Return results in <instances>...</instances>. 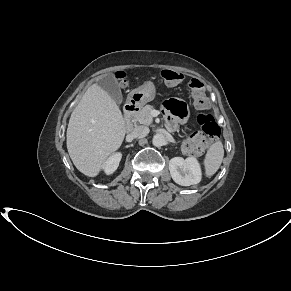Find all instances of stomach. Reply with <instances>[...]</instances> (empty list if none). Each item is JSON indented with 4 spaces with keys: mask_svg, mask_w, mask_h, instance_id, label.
Returning a JSON list of instances; mask_svg holds the SVG:
<instances>
[{
    "mask_svg": "<svg viewBox=\"0 0 291 291\" xmlns=\"http://www.w3.org/2000/svg\"><path fill=\"white\" fill-rule=\"evenodd\" d=\"M156 90L152 82H146L142 86L132 90L127 99L136 106H143L155 98Z\"/></svg>",
    "mask_w": 291,
    "mask_h": 291,
    "instance_id": "1",
    "label": "stomach"
}]
</instances>
